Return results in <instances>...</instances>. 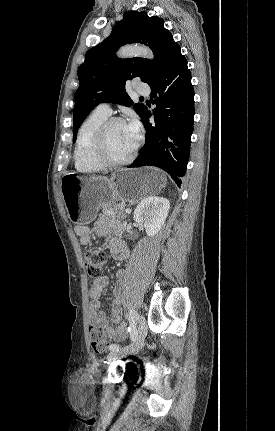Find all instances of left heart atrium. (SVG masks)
<instances>
[{"label": "left heart atrium", "instance_id": "left-heart-atrium-1", "mask_svg": "<svg viewBox=\"0 0 275 431\" xmlns=\"http://www.w3.org/2000/svg\"><path fill=\"white\" fill-rule=\"evenodd\" d=\"M126 130L132 145L135 147L140 137L139 121L135 117H132L126 124Z\"/></svg>", "mask_w": 275, "mask_h": 431}]
</instances>
